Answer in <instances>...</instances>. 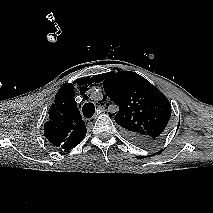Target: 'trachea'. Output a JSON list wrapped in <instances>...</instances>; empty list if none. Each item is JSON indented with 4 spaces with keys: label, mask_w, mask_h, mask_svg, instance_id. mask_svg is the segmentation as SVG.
I'll list each match as a JSON object with an SVG mask.
<instances>
[{
    "label": "trachea",
    "mask_w": 213,
    "mask_h": 213,
    "mask_svg": "<svg viewBox=\"0 0 213 213\" xmlns=\"http://www.w3.org/2000/svg\"><path fill=\"white\" fill-rule=\"evenodd\" d=\"M82 111L86 118H91L95 113V106L93 103H86L83 105Z\"/></svg>",
    "instance_id": "3493384b"
}]
</instances>
